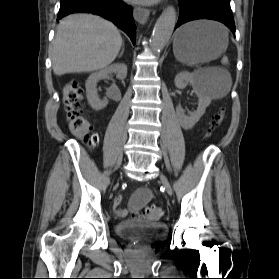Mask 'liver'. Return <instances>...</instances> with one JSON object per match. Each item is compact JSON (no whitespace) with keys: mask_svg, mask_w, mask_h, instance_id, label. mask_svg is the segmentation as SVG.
I'll list each match as a JSON object with an SVG mask.
<instances>
[{"mask_svg":"<svg viewBox=\"0 0 279 279\" xmlns=\"http://www.w3.org/2000/svg\"><path fill=\"white\" fill-rule=\"evenodd\" d=\"M121 46L122 37L111 22L91 14L69 15L60 21L53 41L54 74L105 68L115 60Z\"/></svg>","mask_w":279,"mask_h":279,"instance_id":"liver-1","label":"liver"}]
</instances>
